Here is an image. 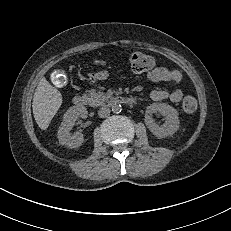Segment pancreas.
<instances>
[{"label": "pancreas", "mask_w": 231, "mask_h": 231, "mask_svg": "<svg viewBox=\"0 0 231 231\" xmlns=\"http://www.w3.org/2000/svg\"><path fill=\"white\" fill-rule=\"evenodd\" d=\"M88 97L89 102L92 106L103 105L106 101H108L111 98L109 94L100 91L96 92L95 90H90Z\"/></svg>", "instance_id": "cf45deb5"}]
</instances>
